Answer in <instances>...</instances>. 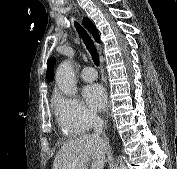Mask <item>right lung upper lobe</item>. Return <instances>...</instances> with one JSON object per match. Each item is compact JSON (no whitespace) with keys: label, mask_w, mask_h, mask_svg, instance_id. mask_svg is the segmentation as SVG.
Instances as JSON below:
<instances>
[{"label":"right lung upper lobe","mask_w":177,"mask_h":169,"mask_svg":"<svg viewBox=\"0 0 177 169\" xmlns=\"http://www.w3.org/2000/svg\"><path fill=\"white\" fill-rule=\"evenodd\" d=\"M87 21H89V20L87 19ZM92 33H93V37L95 38V40L97 42H100L99 33L93 24H92ZM55 61H56V59L54 57L50 58L48 61V68H47V73H46V78H47L48 82L53 81V78H54L53 65H54Z\"/></svg>","instance_id":"right-lung-upper-lobe-1"}]
</instances>
